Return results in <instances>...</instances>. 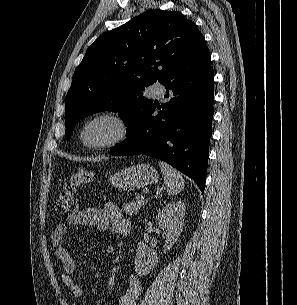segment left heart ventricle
<instances>
[{
  "mask_svg": "<svg viewBox=\"0 0 297 305\" xmlns=\"http://www.w3.org/2000/svg\"><path fill=\"white\" fill-rule=\"evenodd\" d=\"M116 133V128L109 121H98L86 129V138L91 142H102L113 137Z\"/></svg>",
  "mask_w": 297,
  "mask_h": 305,
  "instance_id": "left-heart-ventricle-1",
  "label": "left heart ventricle"
}]
</instances>
